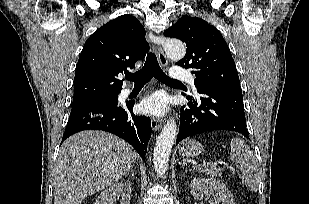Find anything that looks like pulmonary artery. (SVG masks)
<instances>
[{"label": "pulmonary artery", "instance_id": "e3ab8cb5", "mask_svg": "<svg viewBox=\"0 0 309 204\" xmlns=\"http://www.w3.org/2000/svg\"><path fill=\"white\" fill-rule=\"evenodd\" d=\"M171 79L183 80L189 82L191 85L195 84V76L188 70L174 68L170 71ZM131 92L130 88L124 90V94H129Z\"/></svg>", "mask_w": 309, "mask_h": 204}]
</instances>
